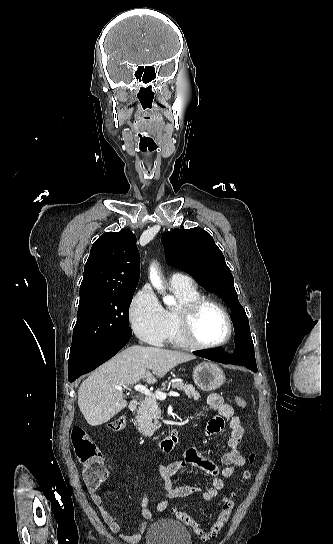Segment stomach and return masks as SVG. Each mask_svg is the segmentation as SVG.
I'll return each instance as SVG.
<instances>
[{
	"mask_svg": "<svg viewBox=\"0 0 333 544\" xmlns=\"http://www.w3.org/2000/svg\"><path fill=\"white\" fill-rule=\"evenodd\" d=\"M194 383L203 391H214L225 382L223 370L215 363L203 362L193 369Z\"/></svg>",
	"mask_w": 333,
	"mask_h": 544,
	"instance_id": "obj_1",
	"label": "stomach"
}]
</instances>
